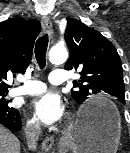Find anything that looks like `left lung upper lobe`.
<instances>
[{
  "instance_id": "1",
  "label": "left lung upper lobe",
  "mask_w": 130,
  "mask_h": 153,
  "mask_svg": "<svg viewBox=\"0 0 130 153\" xmlns=\"http://www.w3.org/2000/svg\"><path fill=\"white\" fill-rule=\"evenodd\" d=\"M65 40L70 51L65 69H78L81 75L73 81V87L79 88L72 92L74 100L83 103L94 94H109L125 101L122 63L114 45L97 30L69 17Z\"/></svg>"
}]
</instances>
